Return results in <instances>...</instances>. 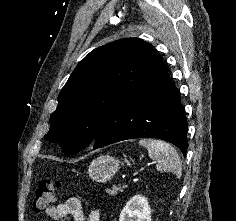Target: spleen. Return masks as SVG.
Segmentation results:
<instances>
[{"label":"spleen","instance_id":"3e777b00","mask_svg":"<svg viewBox=\"0 0 236 221\" xmlns=\"http://www.w3.org/2000/svg\"><path fill=\"white\" fill-rule=\"evenodd\" d=\"M140 146H144L149 157L156 162L157 170L171 172L177 178L182 175V163L175 148L169 143L155 139H141Z\"/></svg>","mask_w":236,"mask_h":221}]
</instances>
